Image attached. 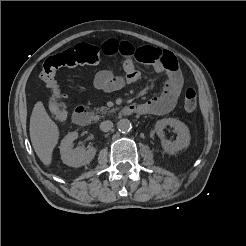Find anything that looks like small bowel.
Instances as JSON below:
<instances>
[{
	"label": "small bowel",
	"mask_w": 246,
	"mask_h": 246,
	"mask_svg": "<svg viewBox=\"0 0 246 246\" xmlns=\"http://www.w3.org/2000/svg\"><path fill=\"white\" fill-rule=\"evenodd\" d=\"M99 51L105 55H121L123 57V75H116L105 69L94 78V87L103 92H114L125 85L138 81L141 77L134 60L150 64L156 73L165 75L164 87L159 96L137 104L139 114L165 115L176 106L184 85L176 56L163 49L154 47L134 48L127 41L108 39L102 43Z\"/></svg>",
	"instance_id": "1"
}]
</instances>
